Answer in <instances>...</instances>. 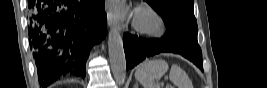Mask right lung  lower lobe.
Listing matches in <instances>:
<instances>
[{"label": "right lung lower lobe", "instance_id": "1", "mask_svg": "<svg viewBox=\"0 0 267 88\" xmlns=\"http://www.w3.org/2000/svg\"><path fill=\"white\" fill-rule=\"evenodd\" d=\"M105 0H30L29 44L41 85L84 77L94 44L106 36Z\"/></svg>", "mask_w": 267, "mask_h": 88}]
</instances>
